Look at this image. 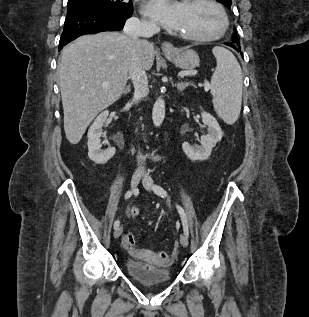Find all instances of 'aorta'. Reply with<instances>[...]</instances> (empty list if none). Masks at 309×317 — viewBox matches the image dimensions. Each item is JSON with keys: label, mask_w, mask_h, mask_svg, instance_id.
<instances>
[{"label": "aorta", "mask_w": 309, "mask_h": 317, "mask_svg": "<svg viewBox=\"0 0 309 317\" xmlns=\"http://www.w3.org/2000/svg\"><path fill=\"white\" fill-rule=\"evenodd\" d=\"M165 117V101L158 98L153 106L152 120L156 127L161 126Z\"/></svg>", "instance_id": "obj_1"}]
</instances>
